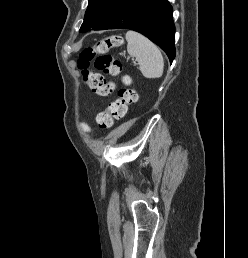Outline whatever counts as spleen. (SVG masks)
I'll return each instance as SVG.
<instances>
[{"label": "spleen", "instance_id": "obj_1", "mask_svg": "<svg viewBox=\"0 0 248 258\" xmlns=\"http://www.w3.org/2000/svg\"><path fill=\"white\" fill-rule=\"evenodd\" d=\"M127 51L135 57L144 77L160 78L163 74L164 60L159 48L144 35L128 31L126 33Z\"/></svg>", "mask_w": 248, "mask_h": 258}]
</instances>
